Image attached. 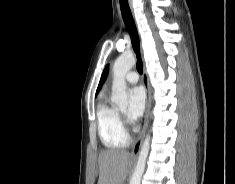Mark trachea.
I'll return each instance as SVG.
<instances>
[{
    "instance_id": "1",
    "label": "trachea",
    "mask_w": 235,
    "mask_h": 184,
    "mask_svg": "<svg viewBox=\"0 0 235 184\" xmlns=\"http://www.w3.org/2000/svg\"><path fill=\"white\" fill-rule=\"evenodd\" d=\"M120 8H121L124 23L131 37L133 48L137 54V70L140 74H142L143 64H142V60H141L140 52H139V37H138L137 29H136V26H135V23L131 14L130 7L128 5V0H120Z\"/></svg>"
}]
</instances>
